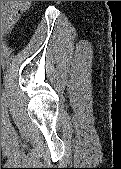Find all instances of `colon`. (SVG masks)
<instances>
[{
    "instance_id": "1",
    "label": "colon",
    "mask_w": 121,
    "mask_h": 169,
    "mask_svg": "<svg viewBox=\"0 0 121 169\" xmlns=\"http://www.w3.org/2000/svg\"><path fill=\"white\" fill-rule=\"evenodd\" d=\"M31 1H5L6 7L9 12V20L11 23H14L19 14L25 12Z\"/></svg>"
}]
</instances>
